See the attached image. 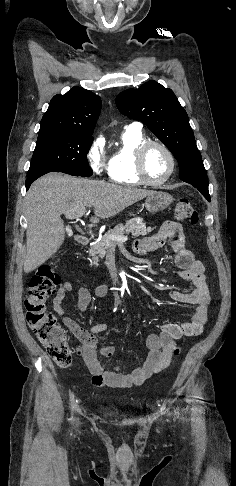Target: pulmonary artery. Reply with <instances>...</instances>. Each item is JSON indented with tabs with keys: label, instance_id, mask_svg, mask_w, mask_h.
Masks as SVG:
<instances>
[{
	"label": "pulmonary artery",
	"instance_id": "pulmonary-artery-1",
	"mask_svg": "<svg viewBox=\"0 0 236 486\" xmlns=\"http://www.w3.org/2000/svg\"><path fill=\"white\" fill-rule=\"evenodd\" d=\"M129 127L141 129V124L139 122H134Z\"/></svg>",
	"mask_w": 236,
	"mask_h": 486
}]
</instances>
